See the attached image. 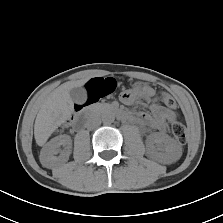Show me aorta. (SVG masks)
<instances>
[{
    "instance_id": "1",
    "label": "aorta",
    "mask_w": 223,
    "mask_h": 223,
    "mask_svg": "<svg viewBox=\"0 0 223 223\" xmlns=\"http://www.w3.org/2000/svg\"><path fill=\"white\" fill-rule=\"evenodd\" d=\"M101 119L104 124H111L114 122L115 116L113 113L106 112V113L102 114Z\"/></svg>"
}]
</instances>
